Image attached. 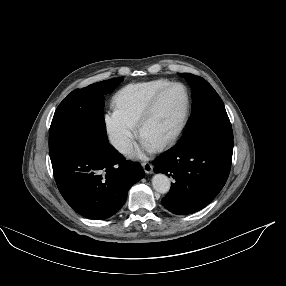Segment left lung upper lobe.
<instances>
[{"mask_svg": "<svg viewBox=\"0 0 286 286\" xmlns=\"http://www.w3.org/2000/svg\"><path fill=\"white\" fill-rule=\"evenodd\" d=\"M194 91L193 114L189 125L176 144L188 146L203 140H233V131L223 101L203 78L182 73Z\"/></svg>", "mask_w": 286, "mask_h": 286, "instance_id": "obj_1", "label": "left lung upper lobe"}]
</instances>
